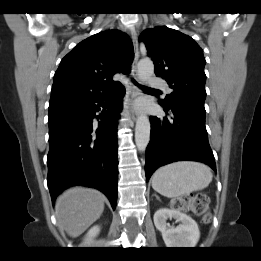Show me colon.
I'll return each instance as SVG.
<instances>
[{
  "label": "colon",
  "mask_w": 261,
  "mask_h": 261,
  "mask_svg": "<svg viewBox=\"0 0 261 261\" xmlns=\"http://www.w3.org/2000/svg\"><path fill=\"white\" fill-rule=\"evenodd\" d=\"M172 206L178 210H191L195 215L201 216L203 222L210 220L208 213L209 198L206 194L199 193L174 198Z\"/></svg>",
  "instance_id": "1"
}]
</instances>
